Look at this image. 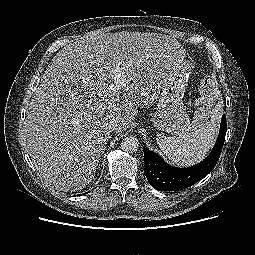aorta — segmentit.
<instances>
[{"instance_id":"obj_1","label":"aorta","mask_w":255,"mask_h":255,"mask_svg":"<svg viewBox=\"0 0 255 255\" xmlns=\"http://www.w3.org/2000/svg\"><path fill=\"white\" fill-rule=\"evenodd\" d=\"M121 148L130 153H134L139 148L138 139L134 136H127L122 140Z\"/></svg>"}]
</instances>
